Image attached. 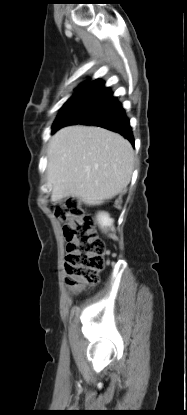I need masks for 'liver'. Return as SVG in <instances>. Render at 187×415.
<instances>
[{"instance_id": "obj_1", "label": "liver", "mask_w": 187, "mask_h": 415, "mask_svg": "<svg viewBox=\"0 0 187 415\" xmlns=\"http://www.w3.org/2000/svg\"><path fill=\"white\" fill-rule=\"evenodd\" d=\"M47 157L54 203L72 196L99 205L123 192L134 167L131 144L117 133L93 126L57 131L50 139Z\"/></svg>"}]
</instances>
